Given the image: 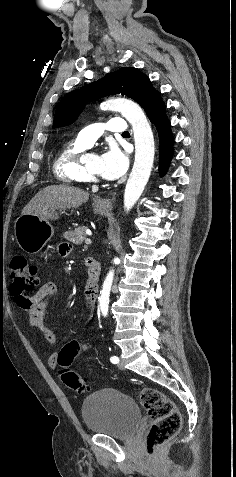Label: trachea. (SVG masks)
<instances>
[{
    "label": "trachea",
    "instance_id": "obj_1",
    "mask_svg": "<svg viewBox=\"0 0 236 477\" xmlns=\"http://www.w3.org/2000/svg\"><path fill=\"white\" fill-rule=\"evenodd\" d=\"M129 134V132H124L123 135Z\"/></svg>",
    "mask_w": 236,
    "mask_h": 477
}]
</instances>
